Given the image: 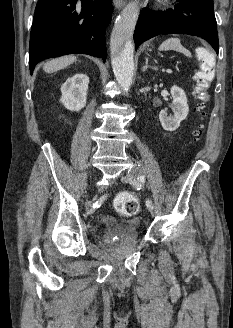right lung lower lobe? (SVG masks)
Instances as JSON below:
<instances>
[{"label":"right lung lower lobe","mask_w":233,"mask_h":328,"mask_svg":"<svg viewBox=\"0 0 233 328\" xmlns=\"http://www.w3.org/2000/svg\"><path fill=\"white\" fill-rule=\"evenodd\" d=\"M111 0H39L29 46V66L47 58L83 53L106 59L105 27Z\"/></svg>","instance_id":"98d812e1"}]
</instances>
